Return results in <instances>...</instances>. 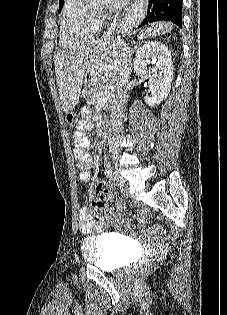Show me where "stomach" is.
Listing matches in <instances>:
<instances>
[{"instance_id":"stomach-1","label":"stomach","mask_w":227,"mask_h":315,"mask_svg":"<svg viewBox=\"0 0 227 315\" xmlns=\"http://www.w3.org/2000/svg\"><path fill=\"white\" fill-rule=\"evenodd\" d=\"M97 73H98L97 68H87L86 72L84 73L85 76L84 80H80L79 82L81 91H90L91 82H94ZM71 115L73 116V118H75V114L71 113Z\"/></svg>"}]
</instances>
